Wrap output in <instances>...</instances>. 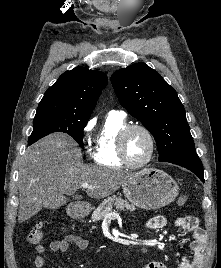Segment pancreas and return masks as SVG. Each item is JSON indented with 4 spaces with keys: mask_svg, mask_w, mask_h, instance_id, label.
Instances as JSON below:
<instances>
[{
    "mask_svg": "<svg viewBox=\"0 0 221 268\" xmlns=\"http://www.w3.org/2000/svg\"><path fill=\"white\" fill-rule=\"evenodd\" d=\"M115 207L118 210H130L134 211L136 208L133 204H130L127 200L113 195L105 199L92 213V221H100L105 218L106 214L111 212Z\"/></svg>",
    "mask_w": 221,
    "mask_h": 268,
    "instance_id": "pancreas-1",
    "label": "pancreas"
}]
</instances>
